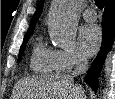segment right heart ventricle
<instances>
[{"mask_svg":"<svg viewBox=\"0 0 115 99\" xmlns=\"http://www.w3.org/2000/svg\"><path fill=\"white\" fill-rule=\"evenodd\" d=\"M31 69L38 74H52L58 71L55 50L46 48L40 41H38L32 50Z\"/></svg>","mask_w":115,"mask_h":99,"instance_id":"obj_1","label":"right heart ventricle"}]
</instances>
